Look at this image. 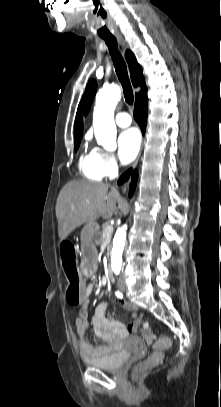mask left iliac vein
I'll list each match as a JSON object with an SVG mask.
<instances>
[{"label":"left iliac vein","mask_w":221,"mask_h":407,"mask_svg":"<svg viewBox=\"0 0 221 407\" xmlns=\"http://www.w3.org/2000/svg\"><path fill=\"white\" fill-rule=\"evenodd\" d=\"M120 289H121V291H125V290H126V285H125L124 282L120 284Z\"/></svg>","instance_id":"obj_1"}]
</instances>
